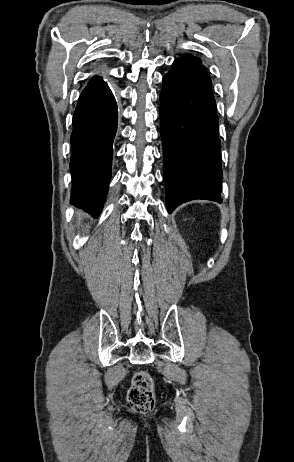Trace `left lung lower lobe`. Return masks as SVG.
<instances>
[{
	"label": "left lung lower lobe",
	"instance_id": "left-lung-lower-lobe-1",
	"mask_svg": "<svg viewBox=\"0 0 294 462\" xmlns=\"http://www.w3.org/2000/svg\"><path fill=\"white\" fill-rule=\"evenodd\" d=\"M210 76L201 62L177 59L163 78L160 134L166 205L194 199L221 203V145Z\"/></svg>",
	"mask_w": 294,
	"mask_h": 462
}]
</instances>
